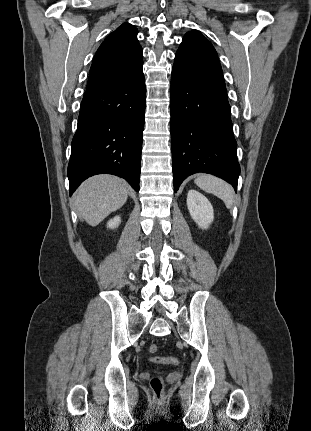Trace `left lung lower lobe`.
<instances>
[{
    "label": "left lung lower lobe",
    "mask_w": 311,
    "mask_h": 431,
    "mask_svg": "<svg viewBox=\"0 0 311 431\" xmlns=\"http://www.w3.org/2000/svg\"><path fill=\"white\" fill-rule=\"evenodd\" d=\"M170 112L175 192L186 177L197 172L220 177L237 191V143L220 63L177 51Z\"/></svg>",
    "instance_id": "obj_1"
}]
</instances>
